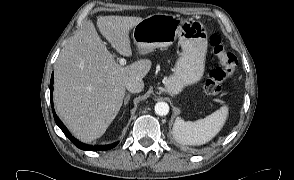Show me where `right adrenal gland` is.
Wrapping results in <instances>:
<instances>
[{"label":"right adrenal gland","mask_w":294,"mask_h":180,"mask_svg":"<svg viewBox=\"0 0 294 180\" xmlns=\"http://www.w3.org/2000/svg\"><path fill=\"white\" fill-rule=\"evenodd\" d=\"M130 94H128L126 97H125V99H124V106H126L127 104H128V102H129V100H130Z\"/></svg>","instance_id":"1"}]
</instances>
